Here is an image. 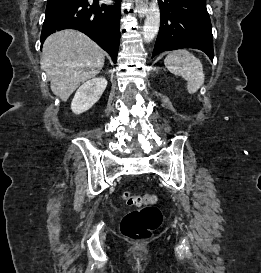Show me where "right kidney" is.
<instances>
[{"mask_svg": "<svg viewBox=\"0 0 261 273\" xmlns=\"http://www.w3.org/2000/svg\"><path fill=\"white\" fill-rule=\"evenodd\" d=\"M107 86L104 77L93 78L79 87L71 103V109L75 114H81L89 110L101 97Z\"/></svg>", "mask_w": 261, "mask_h": 273, "instance_id": "obj_1", "label": "right kidney"}]
</instances>
